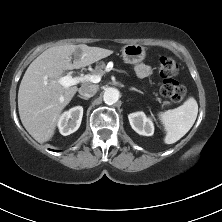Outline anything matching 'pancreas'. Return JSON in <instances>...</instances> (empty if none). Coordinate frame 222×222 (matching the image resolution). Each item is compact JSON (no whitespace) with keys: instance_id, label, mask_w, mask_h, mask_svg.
Returning <instances> with one entry per match:
<instances>
[{"instance_id":"cf45deb5","label":"pancreas","mask_w":222,"mask_h":222,"mask_svg":"<svg viewBox=\"0 0 222 222\" xmlns=\"http://www.w3.org/2000/svg\"><path fill=\"white\" fill-rule=\"evenodd\" d=\"M104 68H105V63H104V62H100V63H98V64L96 65L93 73L96 74V75L103 76V75L105 74ZM155 95H157V94L155 93ZM157 100H158L159 102H161V99H160V98H157ZM169 104H170L169 101H164L162 106H164V105H169Z\"/></svg>"}]
</instances>
